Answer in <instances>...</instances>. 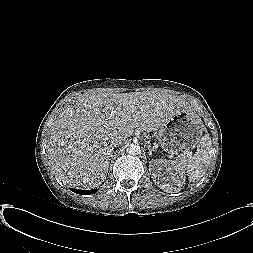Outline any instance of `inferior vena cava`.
<instances>
[{
	"label": "inferior vena cava",
	"mask_w": 253,
	"mask_h": 253,
	"mask_svg": "<svg viewBox=\"0 0 253 253\" xmlns=\"http://www.w3.org/2000/svg\"><path fill=\"white\" fill-rule=\"evenodd\" d=\"M111 143H112V146H113V147H116V148H117V147H120V146H121V143H122V142H121V139H120V138H117V137H116V138H113V139H112V142H111Z\"/></svg>",
	"instance_id": "1"
}]
</instances>
